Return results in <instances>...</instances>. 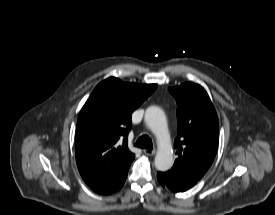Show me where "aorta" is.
<instances>
[{
    "instance_id": "1",
    "label": "aorta",
    "mask_w": 275,
    "mask_h": 215,
    "mask_svg": "<svg viewBox=\"0 0 275 215\" xmlns=\"http://www.w3.org/2000/svg\"><path fill=\"white\" fill-rule=\"evenodd\" d=\"M144 120L159 141V148L154 160L155 167L159 171H167L173 165V151L166 116L162 109L151 106L146 109Z\"/></svg>"
}]
</instances>
